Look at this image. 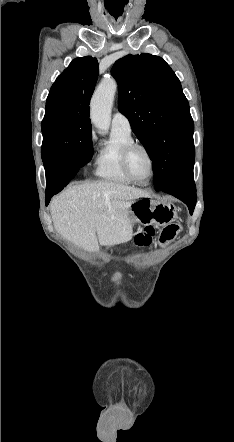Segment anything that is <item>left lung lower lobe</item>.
I'll return each instance as SVG.
<instances>
[{"label": "left lung lower lobe", "mask_w": 234, "mask_h": 442, "mask_svg": "<svg viewBox=\"0 0 234 442\" xmlns=\"http://www.w3.org/2000/svg\"><path fill=\"white\" fill-rule=\"evenodd\" d=\"M195 154L186 162L181 171L159 191L171 194L187 204L190 214L196 204V187L193 180Z\"/></svg>", "instance_id": "0a47b994"}]
</instances>
